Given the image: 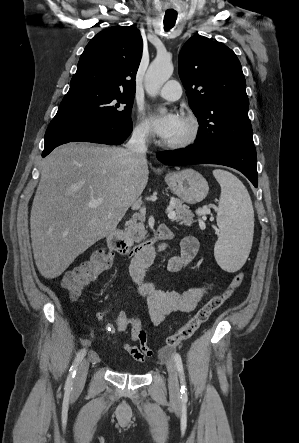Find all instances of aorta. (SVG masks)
<instances>
[{"label":"aorta","instance_id":"obj_1","mask_svg":"<svg viewBox=\"0 0 299 443\" xmlns=\"http://www.w3.org/2000/svg\"><path fill=\"white\" fill-rule=\"evenodd\" d=\"M173 70L174 67L170 58L157 56L150 64L145 76L146 92L155 97L163 84L172 76ZM165 111V109H162V112Z\"/></svg>","mask_w":299,"mask_h":443}]
</instances>
